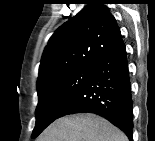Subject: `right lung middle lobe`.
Instances as JSON below:
<instances>
[{"label": "right lung middle lobe", "mask_w": 155, "mask_h": 141, "mask_svg": "<svg viewBox=\"0 0 155 141\" xmlns=\"http://www.w3.org/2000/svg\"><path fill=\"white\" fill-rule=\"evenodd\" d=\"M94 68H76L55 74L37 84L38 105L32 137L59 118L62 110L86 83Z\"/></svg>", "instance_id": "obj_1"}]
</instances>
